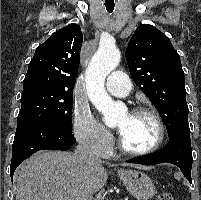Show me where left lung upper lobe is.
<instances>
[{"instance_id":"1","label":"left lung upper lobe","mask_w":201,"mask_h":200,"mask_svg":"<svg viewBox=\"0 0 201 200\" xmlns=\"http://www.w3.org/2000/svg\"><path fill=\"white\" fill-rule=\"evenodd\" d=\"M130 74L163 118L169 137L190 130L184 72L169 38L149 24L135 30L126 49Z\"/></svg>"}]
</instances>
